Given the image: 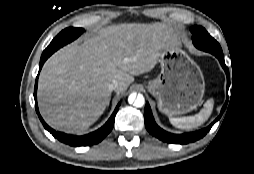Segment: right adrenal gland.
<instances>
[{"instance_id":"right-adrenal-gland-1","label":"right adrenal gland","mask_w":254,"mask_h":174,"mask_svg":"<svg viewBox=\"0 0 254 174\" xmlns=\"http://www.w3.org/2000/svg\"><path fill=\"white\" fill-rule=\"evenodd\" d=\"M109 102H110V99H109ZM109 102H108V105H107V106H109Z\"/></svg>"}]
</instances>
